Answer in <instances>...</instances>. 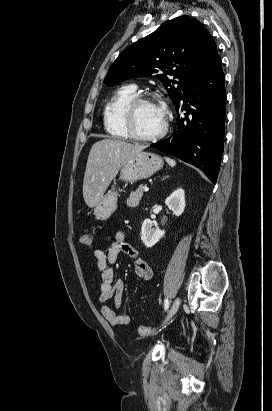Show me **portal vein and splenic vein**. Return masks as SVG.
Segmentation results:
<instances>
[{"instance_id": "1", "label": "portal vein and splenic vein", "mask_w": 272, "mask_h": 411, "mask_svg": "<svg viewBox=\"0 0 272 411\" xmlns=\"http://www.w3.org/2000/svg\"><path fill=\"white\" fill-rule=\"evenodd\" d=\"M149 188L145 186L144 191L148 192Z\"/></svg>"}]
</instances>
